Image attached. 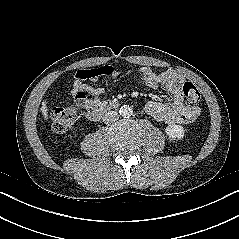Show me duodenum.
<instances>
[{"mask_svg":"<svg viewBox=\"0 0 239 239\" xmlns=\"http://www.w3.org/2000/svg\"><path fill=\"white\" fill-rule=\"evenodd\" d=\"M116 106L114 102L106 101L103 102L100 106L91 110L88 114L89 120L96 122L100 120L107 112L113 109Z\"/></svg>","mask_w":239,"mask_h":239,"instance_id":"duodenum-1","label":"duodenum"}]
</instances>
